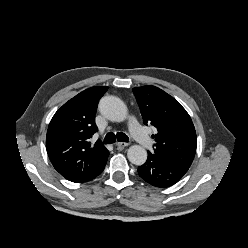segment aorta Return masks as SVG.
<instances>
[{"label": "aorta", "mask_w": 248, "mask_h": 248, "mask_svg": "<svg viewBox=\"0 0 248 248\" xmlns=\"http://www.w3.org/2000/svg\"><path fill=\"white\" fill-rule=\"evenodd\" d=\"M100 113L113 122H122L127 117V107L115 96H105L99 102ZM129 161L135 165H143L147 160V151L140 145H132L127 152Z\"/></svg>", "instance_id": "aorta-1"}]
</instances>
